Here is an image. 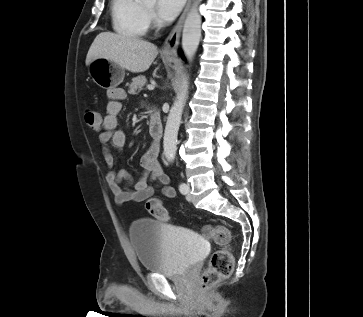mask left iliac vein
<instances>
[{
    "instance_id": "left-iliac-vein-1",
    "label": "left iliac vein",
    "mask_w": 363,
    "mask_h": 317,
    "mask_svg": "<svg viewBox=\"0 0 363 317\" xmlns=\"http://www.w3.org/2000/svg\"><path fill=\"white\" fill-rule=\"evenodd\" d=\"M186 186H187V192H186V194H187V199L190 201L191 200V195H190V186H189V184H186Z\"/></svg>"
}]
</instances>
